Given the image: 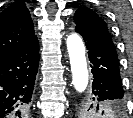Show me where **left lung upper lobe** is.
<instances>
[{
    "label": "left lung upper lobe",
    "instance_id": "left-lung-upper-lobe-1",
    "mask_svg": "<svg viewBox=\"0 0 133 118\" xmlns=\"http://www.w3.org/2000/svg\"><path fill=\"white\" fill-rule=\"evenodd\" d=\"M74 22L77 28L83 29L100 39L113 42L106 22L93 10L80 7L74 15ZM123 102L106 100L99 103L95 101L92 93H87L79 98L77 110L81 116H93L98 113L103 115V113L107 114L121 110Z\"/></svg>",
    "mask_w": 133,
    "mask_h": 118
}]
</instances>
